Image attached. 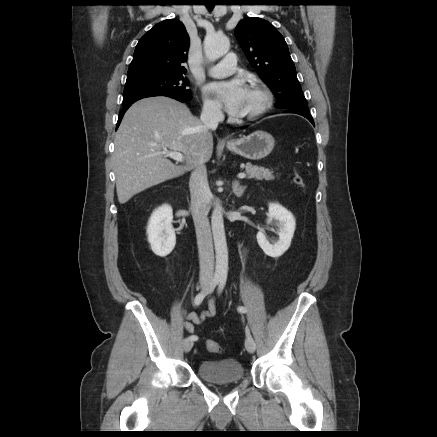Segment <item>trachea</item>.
Wrapping results in <instances>:
<instances>
[{
	"label": "trachea",
	"instance_id": "1",
	"mask_svg": "<svg viewBox=\"0 0 437 437\" xmlns=\"http://www.w3.org/2000/svg\"><path fill=\"white\" fill-rule=\"evenodd\" d=\"M206 7L211 11L214 8V5H207Z\"/></svg>",
	"mask_w": 437,
	"mask_h": 437
}]
</instances>
